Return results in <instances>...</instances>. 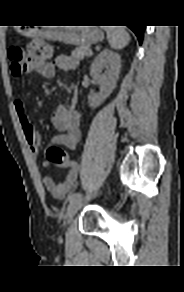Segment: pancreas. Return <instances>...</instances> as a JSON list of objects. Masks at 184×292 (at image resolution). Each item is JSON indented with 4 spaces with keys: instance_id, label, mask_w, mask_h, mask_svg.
Here are the masks:
<instances>
[{
    "instance_id": "obj_1",
    "label": "pancreas",
    "mask_w": 184,
    "mask_h": 292,
    "mask_svg": "<svg viewBox=\"0 0 184 292\" xmlns=\"http://www.w3.org/2000/svg\"><path fill=\"white\" fill-rule=\"evenodd\" d=\"M90 47L88 45H81L72 51V57L75 61H80L89 55Z\"/></svg>"
}]
</instances>
